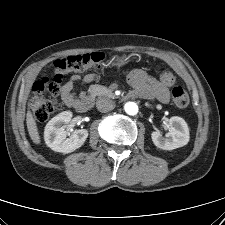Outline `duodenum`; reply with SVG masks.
Returning a JSON list of instances; mask_svg holds the SVG:
<instances>
[{
  "mask_svg": "<svg viewBox=\"0 0 225 225\" xmlns=\"http://www.w3.org/2000/svg\"><path fill=\"white\" fill-rule=\"evenodd\" d=\"M93 106V98L91 96H85L79 99L74 108L79 113L88 112Z\"/></svg>",
  "mask_w": 225,
  "mask_h": 225,
  "instance_id": "obj_1",
  "label": "duodenum"
}]
</instances>
